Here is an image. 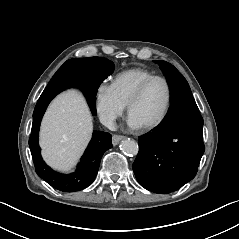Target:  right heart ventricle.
Segmentation results:
<instances>
[{
	"mask_svg": "<svg viewBox=\"0 0 239 239\" xmlns=\"http://www.w3.org/2000/svg\"><path fill=\"white\" fill-rule=\"evenodd\" d=\"M152 76H155V74L148 69L141 67L129 68L115 74L110 85L121 103L127 106L135 90L141 83Z\"/></svg>",
	"mask_w": 239,
	"mask_h": 239,
	"instance_id": "1",
	"label": "right heart ventricle"
}]
</instances>
